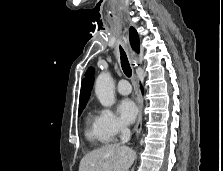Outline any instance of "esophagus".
I'll list each match as a JSON object with an SVG mask.
<instances>
[{"label": "esophagus", "mask_w": 223, "mask_h": 171, "mask_svg": "<svg viewBox=\"0 0 223 171\" xmlns=\"http://www.w3.org/2000/svg\"><path fill=\"white\" fill-rule=\"evenodd\" d=\"M135 65H136V64H135ZM138 106H139L140 116H141V111H142V108H143V103H142L141 100H139V102H138ZM139 124H140V117H139V120H138V124H137V125H139Z\"/></svg>", "instance_id": "obj_1"}]
</instances>
